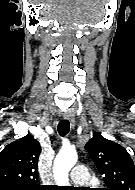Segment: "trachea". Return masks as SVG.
I'll return each instance as SVG.
<instances>
[{
	"label": "trachea",
	"instance_id": "obj_1",
	"mask_svg": "<svg viewBox=\"0 0 135 190\" xmlns=\"http://www.w3.org/2000/svg\"><path fill=\"white\" fill-rule=\"evenodd\" d=\"M70 129V123L68 120H61L58 124V132L60 136H65L68 134Z\"/></svg>",
	"mask_w": 135,
	"mask_h": 190
}]
</instances>
